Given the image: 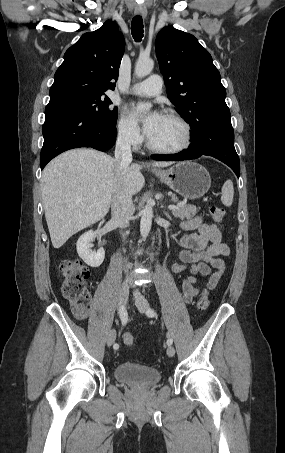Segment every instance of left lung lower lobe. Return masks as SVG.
I'll return each mask as SVG.
<instances>
[{
    "label": "left lung lower lobe",
    "mask_w": 285,
    "mask_h": 453,
    "mask_svg": "<svg viewBox=\"0 0 285 453\" xmlns=\"http://www.w3.org/2000/svg\"><path fill=\"white\" fill-rule=\"evenodd\" d=\"M192 143L187 150L171 155H152L160 161H182L195 159L202 155L212 156L227 164L239 177L240 162L234 147L232 127H210L197 136H190Z\"/></svg>",
    "instance_id": "0a47b994"
}]
</instances>
